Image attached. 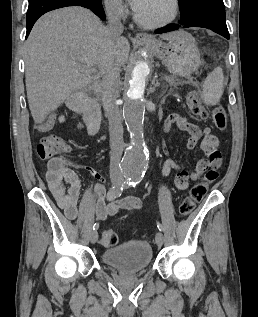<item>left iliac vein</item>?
Wrapping results in <instances>:
<instances>
[{
	"instance_id": "1",
	"label": "left iliac vein",
	"mask_w": 258,
	"mask_h": 317,
	"mask_svg": "<svg viewBox=\"0 0 258 317\" xmlns=\"http://www.w3.org/2000/svg\"><path fill=\"white\" fill-rule=\"evenodd\" d=\"M117 182H118L119 184H122V183L124 182V179H123L122 177H119V178L117 179ZM155 239L157 240V246H158V247H163V243H164L163 239H164V236H163V232H162V231H157V232H156Z\"/></svg>"
}]
</instances>
